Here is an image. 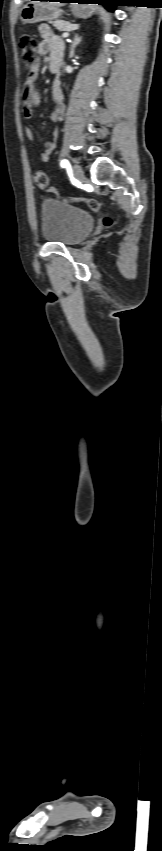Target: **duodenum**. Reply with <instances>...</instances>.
<instances>
[{
	"label": "duodenum",
	"mask_w": 162,
	"mask_h": 851,
	"mask_svg": "<svg viewBox=\"0 0 162 851\" xmlns=\"http://www.w3.org/2000/svg\"><path fill=\"white\" fill-rule=\"evenodd\" d=\"M59 68H60V63L57 60H51L50 61V70L53 73L58 72Z\"/></svg>",
	"instance_id": "duodenum-1"
}]
</instances>
